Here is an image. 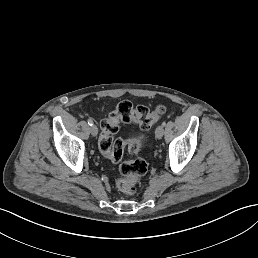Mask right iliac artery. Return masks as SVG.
Segmentation results:
<instances>
[{"instance_id":"obj_1","label":"right iliac artery","mask_w":258,"mask_h":258,"mask_svg":"<svg viewBox=\"0 0 258 258\" xmlns=\"http://www.w3.org/2000/svg\"><path fill=\"white\" fill-rule=\"evenodd\" d=\"M87 123H88V125L92 126V125H93L92 119H88V120H87Z\"/></svg>"}]
</instances>
